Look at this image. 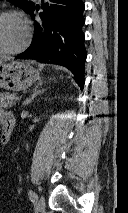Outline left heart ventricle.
<instances>
[{"mask_svg":"<svg viewBox=\"0 0 128 213\" xmlns=\"http://www.w3.org/2000/svg\"><path fill=\"white\" fill-rule=\"evenodd\" d=\"M24 38V25L19 19L10 16L0 18V49L17 48Z\"/></svg>","mask_w":128,"mask_h":213,"instance_id":"obj_1","label":"left heart ventricle"}]
</instances>
